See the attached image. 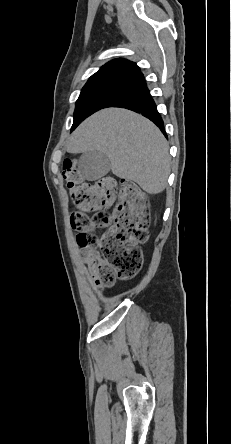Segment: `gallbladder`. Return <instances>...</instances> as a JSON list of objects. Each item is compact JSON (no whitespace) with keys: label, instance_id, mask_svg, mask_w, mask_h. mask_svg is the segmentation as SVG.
<instances>
[{"label":"gallbladder","instance_id":"obj_1","mask_svg":"<svg viewBox=\"0 0 231 444\" xmlns=\"http://www.w3.org/2000/svg\"><path fill=\"white\" fill-rule=\"evenodd\" d=\"M78 168L86 180L94 181L109 172L110 160L99 151H88L80 157Z\"/></svg>","mask_w":231,"mask_h":444}]
</instances>
